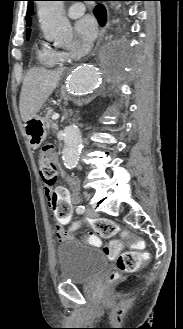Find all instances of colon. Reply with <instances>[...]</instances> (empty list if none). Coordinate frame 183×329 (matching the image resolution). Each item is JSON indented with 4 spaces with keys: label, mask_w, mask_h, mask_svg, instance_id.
I'll return each mask as SVG.
<instances>
[{
    "label": "colon",
    "mask_w": 183,
    "mask_h": 329,
    "mask_svg": "<svg viewBox=\"0 0 183 329\" xmlns=\"http://www.w3.org/2000/svg\"><path fill=\"white\" fill-rule=\"evenodd\" d=\"M40 173L48 189L51 190L57 180V167L53 158V146L43 147L40 159ZM54 211V210H53ZM92 227L96 234L105 239L113 238L118 231L117 225L105 218H97L92 221ZM125 241L132 243L134 251L123 252L121 249ZM145 244L142 240L133 238L124 232L120 240H113L106 245L103 250L106 256L116 259L117 270L110 275V281H115L121 272L135 271L140 263L149 258V254L144 251Z\"/></svg>",
    "instance_id": "obj_1"
}]
</instances>
